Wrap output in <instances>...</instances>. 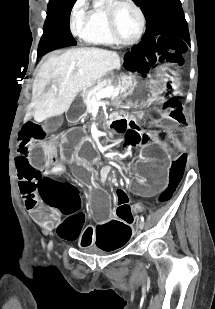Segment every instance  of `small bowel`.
Instances as JSON below:
<instances>
[{
	"instance_id": "small-bowel-1",
	"label": "small bowel",
	"mask_w": 215,
	"mask_h": 309,
	"mask_svg": "<svg viewBox=\"0 0 215 309\" xmlns=\"http://www.w3.org/2000/svg\"><path fill=\"white\" fill-rule=\"evenodd\" d=\"M127 129H131L132 133H134V131L137 129L136 123L131 121L129 125L123 128V130H127ZM129 140H131L130 137H129Z\"/></svg>"
}]
</instances>
